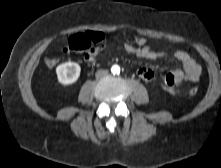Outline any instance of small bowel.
I'll return each mask as SVG.
<instances>
[{
    "mask_svg": "<svg viewBox=\"0 0 221 168\" xmlns=\"http://www.w3.org/2000/svg\"><path fill=\"white\" fill-rule=\"evenodd\" d=\"M124 50L128 54H132L138 58H144L151 61H156L167 55L164 51H158L145 45L144 47L133 46L129 43L123 45ZM104 50V46L92 48L85 55V61L92 63L96 61L98 55ZM174 58L182 64V69H177L169 73L163 83L162 87L170 94H179L181 92V85L183 83H193L199 80L202 68L195 61V59L185 51L177 50L173 54ZM138 76L145 80L150 81L154 78V72L150 68L142 67L137 71Z\"/></svg>",
    "mask_w": 221,
    "mask_h": 168,
    "instance_id": "1",
    "label": "small bowel"
}]
</instances>
